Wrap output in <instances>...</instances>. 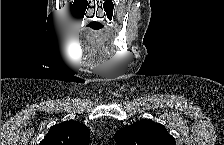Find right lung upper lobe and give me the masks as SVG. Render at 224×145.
Instances as JSON below:
<instances>
[{
    "instance_id": "right-lung-upper-lobe-1",
    "label": "right lung upper lobe",
    "mask_w": 224,
    "mask_h": 145,
    "mask_svg": "<svg viewBox=\"0 0 224 145\" xmlns=\"http://www.w3.org/2000/svg\"><path fill=\"white\" fill-rule=\"evenodd\" d=\"M89 141L87 126L69 120L52 126L40 145H88Z\"/></svg>"
}]
</instances>
